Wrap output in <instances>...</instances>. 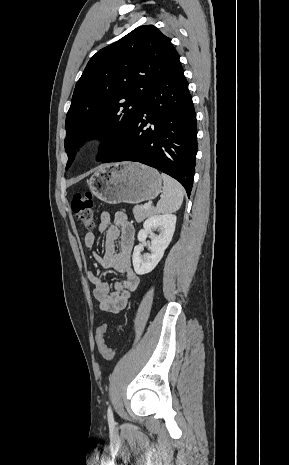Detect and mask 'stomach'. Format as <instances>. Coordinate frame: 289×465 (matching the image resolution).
Segmentation results:
<instances>
[{
  "label": "stomach",
  "mask_w": 289,
  "mask_h": 465,
  "mask_svg": "<svg viewBox=\"0 0 289 465\" xmlns=\"http://www.w3.org/2000/svg\"><path fill=\"white\" fill-rule=\"evenodd\" d=\"M87 184L101 201L109 204H137L159 195L162 178L156 169L146 165L120 162L97 170Z\"/></svg>",
  "instance_id": "stomach-1"
}]
</instances>
